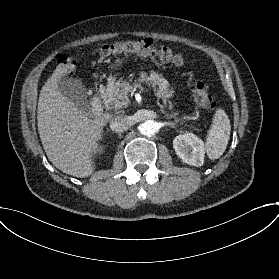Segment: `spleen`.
Masks as SVG:
<instances>
[{
    "label": "spleen",
    "instance_id": "spleen-1",
    "mask_svg": "<svg viewBox=\"0 0 279 279\" xmlns=\"http://www.w3.org/2000/svg\"><path fill=\"white\" fill-rule=\"evenodd\" d=\"M230 120L224 110L218 109L213 117V125L209 130L205 150L209 159H218L226 150L230 139Z\"/></svg>",
    "mask_w": 279,
    "mask_h": 279
}]
</instances>
